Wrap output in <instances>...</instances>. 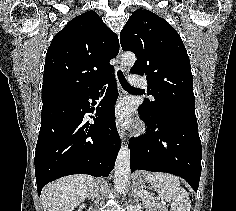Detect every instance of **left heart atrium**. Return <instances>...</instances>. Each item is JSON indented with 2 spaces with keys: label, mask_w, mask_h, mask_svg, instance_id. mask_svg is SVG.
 I'll list each match as a JSON object with an SVG mask.
<instances>
[{
  "label": "left heart atrium",
  "mask_w": 236,
  "mask_h": 211,
  "mask_svg": "<svg viewBox=\"0 0 236 211\" xmlns=\"http://www.w3.org/2000/svg\"><path fill=\"white\" fill-rule=\"evenodd\" d=\"M115 113H116L117 117L120 119H124V120L128 119L129 108H128L127 104L125 102H122L119 105H117V107L115 109Z\"/></svg>",
  "instance_id": "left-heart-atrium-1"
}]
</instances>
